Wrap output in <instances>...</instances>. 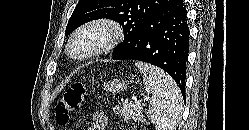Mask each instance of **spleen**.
Wrapping results in <instances>:
<instances>
[{
    "label": "spleen",
    "mask_w": 249,
    "mask_h": 130,
    "mask_svg": "<svg viewBox=\"0 0 249 130\" xmlns=\"http://www.w3.org/2000/svg\"><path fill=\"white\" fill-rule=\"evenodd\" d=\"M145 90L150 95L148 118L156 130H176L182 113V95L176 82L162 69L137 61Z\"/></svg>",
    "instance_id": "1"
}]
</instances>
